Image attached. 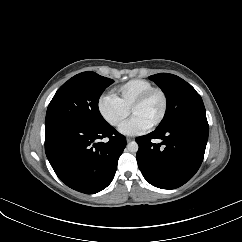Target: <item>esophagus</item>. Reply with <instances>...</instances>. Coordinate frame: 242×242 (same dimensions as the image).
Masks as SVG:
<instances>
[{
    "label": "esophagus",
    "mask_w": 242,
    "mask_h": 242,
    "mask_svg": "<svg viewBox=\"0 0 242 242\" xmlns=\"http://www.w3.org/2000/svg\"><path fill=\"white\" fill-rule=\"evenodd\" d=\"M126 140H127V142H130V141L134 140V138L128 137Z\"/></svg>",
    "instance_id": "1"
}]
</instances>
